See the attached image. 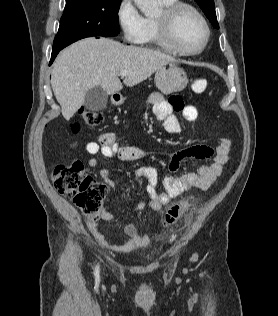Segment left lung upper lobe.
I'll use <instances>...</instances> for the list:
<instances>
[{
    "label": "left lung upper lobe",
    "instance_id": "5c2ea615",
    "mask_svg": "<svg viewBox=\"0 0 278 316\" xmlns=\"http://www.w3.org/2000/svg\"><path fill=\"white\" fill-rule=\"evenodd\" d=\"M215 28H219L214 0H195Z\"/></svg>",
    "mask_w": 278,
    "mask_h": 316
}]
</instances>
